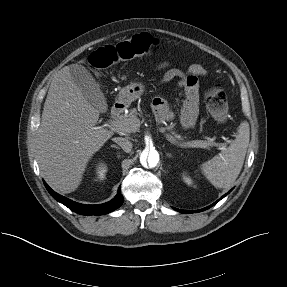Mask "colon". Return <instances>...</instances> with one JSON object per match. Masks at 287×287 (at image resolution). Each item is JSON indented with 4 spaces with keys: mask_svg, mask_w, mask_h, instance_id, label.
<instances>
[{
    "mask_svg": "<svg viewBox=\"0 0 287 287\" xmlns=\"http://www.w3.org/2000/svg\"><path fill=\"white\" fill-rule=\"evenodd\" d=\"M157 44L158 40L150 34L140 33L125 41L97 49L91 54L89 62L94 69L102 70L117 62L143 56ZM206 103L209 112L217 121L223 122L227 119V96L220 86H214L206 93Z\"/></svg>",
    "mask_w": 287,
    "mask_h": 287,
    "instance_id": "5ec220e1",
    "label": "colon"
}]
</instances>
